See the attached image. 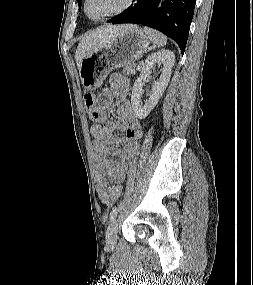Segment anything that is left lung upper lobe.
<instances>
[{
    "label": "left lung upper lobe",
    "instance_id": "left-lung-upper-lobe-1",
    "mask_svg": "<svg viewBox=\"0 0 253 285\" xmlns=\"http://www.w3.org/2000/svg\"><path fill=\"white\" fill-rule=\"evenodd\" d=\"M79 7H81L82 0H77Z\"/></svg>",
    "mask_w": 253,
    "mask_h": 285
}]
</instances>
